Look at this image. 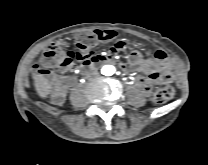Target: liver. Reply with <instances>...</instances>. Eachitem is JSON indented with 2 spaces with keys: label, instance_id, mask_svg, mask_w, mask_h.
Masks as SVG:
<instances>
[{
  "label": "liver",
  "instance_id": "liver-1",
  "mask_svg": "<svg viewBox=\"0 0 208 165\" xmlns=\"http://www.w3.org/2000/svg\"><path fill=\"white\" fill-rule=\"evenodd\" d=\"M35 88L38 95L42 98L47 97L51 89L50 84L41 75L35 76Z\"/></svg>",
  "mask_w": 208,
  "mask_h": 165
}]
</instances>
